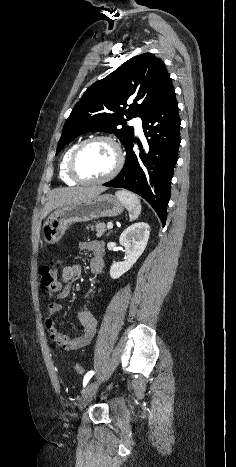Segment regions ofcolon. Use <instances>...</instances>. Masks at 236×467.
<instances>
[{
    "mask_svg": "<svg viewBox=\"0 0 236 467\" xmlns=\"http://www.w3.org/2000/svg\"><path fill=\"white\" fill-rule=\"evenodd\" d=\"M41 273V284L44 288L50 290L54 287L58 277V264L54 260H50L44 263L40 270ZM77 374H83L84 368L79 363L74 366Z\"/></svg>",
    "mask_w": 236,
    "mask_h": 467,
    "instance_id": "obj_1",
    "label": "colon"
}]
</instances>
